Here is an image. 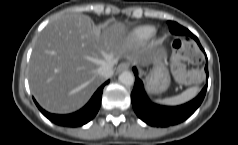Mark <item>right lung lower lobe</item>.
Here are the masks:
<instances>
[{"label":"right lung lower lobe","mask_w":238,"mask_h":145,"mask_svg":"<svg viewBox=\"0 0 238 145\" xmlns=\"http://www.w3.org/2000/svg\"><path fill=\"white\" fill-rule=\"evenodd\" d=\"M108 83L109 81L101 85L98 88V90L94 93L90 101L81 110L72 114L68 115L51 114L43 110L35 101V99L34 102L39 108V110L42 112V114L46 116L51 122L64 127H79L92 120L97 114L101 105L103 88Z\"/></svg>","instance_id":"obj_1"}]
</instances>
